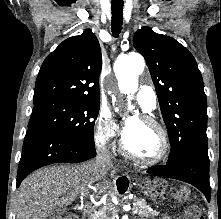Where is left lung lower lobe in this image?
Instances as JSON below:
<instances>
[{
	"mask_svg": "<svg viewBox=\"0 0 221 219\" xmlns=\"http://www.w3.org/2000/svg\"><path fill=\"white\" fill-rule=\"evenodd\" d=\"M147 173L187 182L198 188L210 201L207 146H193L179 156L176 161L168 160L166 165L150 168Z\"/></svg>",
	"mask_w": 221,
	"mask_h": 219,
	"instance_id": "1",
	"label": "left lung lower lobe"
}]
</instances>
